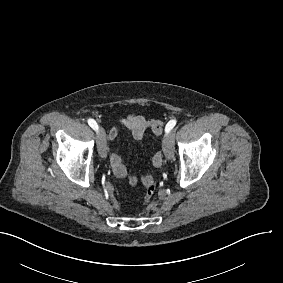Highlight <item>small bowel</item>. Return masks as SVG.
<instances>
[{"label":"small bowel","mask_w":283,"mask_h":283,"mask_svg":"<svg viewBox=\"0 0 283 283\" xmlns=\"http://www.w3.org/2000/svg\"><path fill=\"white\" fill-rule=\"evenodd\" d=\"M121 129L128 130L131 133L133 139L137 141L143 139L147 130H150L156 136H161L163 133V127L160 122L147 121L145 117L140 114H129L125 117H121L118 120V125L109 130L108 139L111 141L115 140L119 136ZM109 161L113 174L117 178L122 179L123 183H127L128 188H138L139 186L143 185L142 179H137L136 181H129V177L127 176V168L116 151L110 150ZM162 163V153L160 151L155 152L152 157L153 167L159 168L161 167ZM133 172L139 173L140 167L134 166Z\"/></svg>","instance_id":"c3829d8e"}]
</instances>
